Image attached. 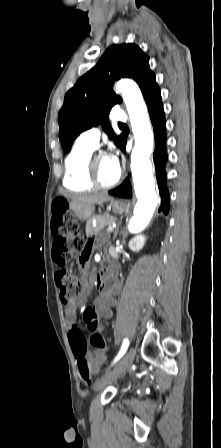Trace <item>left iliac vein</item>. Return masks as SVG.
<instances>
[{"label": "left iliac vein", "mask_w": 221, "mask_h": 448, "mask_svg": "<svg viewBox=\"0 0 221 448\" xmlns=\"http://www.w3.org/2000/svg\"><path fill=\"white\" fill-rule=\"evenodd\" d=\"M136 356V349L132 347L129 352L121 359V361L115 366V368L105 375L103 378L98 380L94 386L93 390L98 391L104 389L111 382L116 380L126 369L130 367Z\"/></svg>", "instance_id": "left-iliac-vein-1"}]
</instances>
